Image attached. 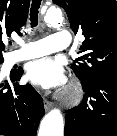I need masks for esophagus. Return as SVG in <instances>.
Listing matches in <instances>:
<instances>
[{
	"label": "esophagus",
	"instance_id": "34e87169",
	"mask_svg": "<svg viewBox=\"0 0 117 136\" xmlns=\"http://www.w3.org/2000/svg\"><path fill=\"white\" fill-rule=\"evenodd\" d=\"M51 102L47 99H44V108L46 111H48L51 108Z\"/></svg>",
	"mask_w": 117,
	"mask_h": 136
}]
</instances>
